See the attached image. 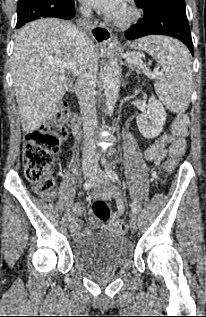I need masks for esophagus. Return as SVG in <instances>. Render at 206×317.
Listing matches in <instances>:
<instances>
[{
    "mask_svg": "<svg viewBox=\"0 0 206 317\" xmlns=\"http://www.w3.org/2000/svg\"><path fill=\"white\" fill-rule=\"evenodd\" d=\"M94 37L101 44L110 42L114 39L111 30H109L104 24H100L98 26H95Z\"/></svg>",
    "mask_w": 206,
    "mask_h": 317,
    "instance_id": "1",
    "label": "esophagus"
}]
</instances>
